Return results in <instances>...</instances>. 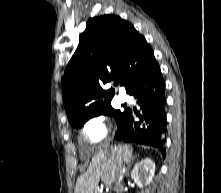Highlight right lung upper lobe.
Masks as SVG:
<instances>
[{
  "label": "right lung upper lobe",
  "mask_w": 221,
  "mask_h": 193,
  "mask_svg": "<svg viewBox=\"0 0 221 193\" xmlns=\"http://www.w3.org/2000/svg\"><path fill=\"white\" fill-rule=\"evenodd\" d=\"M154 61L151 47L131 23L116 15L90 19L62 79L69 122L110 104L114 89L104 91L102 85L111 80L129 93L133 80Z\"/></svg>",
  "instance_id": "obj_1"
}]
</instances>
